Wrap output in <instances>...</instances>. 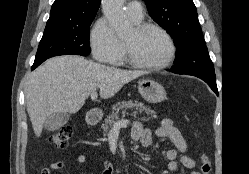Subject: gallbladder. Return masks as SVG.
<instances>
[{
    "label": "gallbladder",
    "mask_w": 249,
    "mask_h": 174,
    "mask_svg": "<svg viewBox=\"0 0 249 174\" xmlns=\"http://www.w3.org/2000/svg\"><path fill=\"white\" fill-rule=\"evenodd\" d=\"M68 121V113H54L45 120L43 126L47 131H55L64 126Z\"/></svg>",
    "instance_id": "bac80fb5"
}]
</instances>
